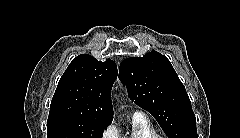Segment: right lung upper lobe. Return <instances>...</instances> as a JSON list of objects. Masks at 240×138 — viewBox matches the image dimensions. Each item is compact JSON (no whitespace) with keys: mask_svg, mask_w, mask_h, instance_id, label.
<instances>
[{"mask_svg":"<svg viewBox=\"0 0 240 138\" xmlns=\"http://www.w3.org/2000/svg\"><path fill=\"white\" fill-rule=\"evenodd\" d=\"M117 77L114 61L82 54L62 75L51 101L49 117L75 116L111 123V89Z\"/></svg>","mask_w":240,"mask_h":138,"instance_id":"cb5924a9","label":"right lung upper lobe"}]
</instances>
